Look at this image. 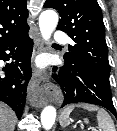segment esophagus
<instances>
[{"label": "esophagus", "instance_id": "esophagus-1", "mask_svg": "<svg viewBox=\"0 0 117 131\" xmlns=\"http://www.w3.org/2000/svg\"><path fill=\"white\" fill-rule=\"evenodd\" d=\"M44 50L43 41L38 37L35 41L33 58ZM31 103L36 107H42L47 104L49 98L59 94L58 88L47 82L45 74L34 69L32 75Z\"/></svg>", "mask_w": 117, "mask_h": 131}]
</instances>
